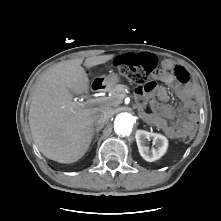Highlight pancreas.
<instances>
[{
	"label": "pancreas",
	"mask_w": 221,
	"mask_h": 221,
	"mask_svg": "<svg viewBox=\"0 0 221 221\" xmlns=\"http://www.w3.org/2000/svg\"><path fill=\"white\" fill-rule=\"evenodd\" d=\"M128 88L125 85L118 84L111 91V96L106 98V103L109 106L119 105L126 96Z\"/></svg>",
	"instance_id": "1"
}]
</instances>
